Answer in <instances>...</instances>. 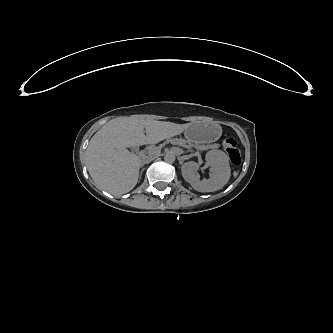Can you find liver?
<instances>
[{"label": "liver", "mask_w": 333, "mask_h": 333, "mask_svg": "<svg viewBox=\"0 0 333 333\" xmlns=\"http://www.w3.org/2000/svg\"><path fill=\"white\" fill-rule=\"evenodd\" d=\"M167 135L115 137L111 133H99L91 139L86 150L90 176L108 192L132 190L138 181L141 161L127 148L156 143Z\"/></svg>", "instance_id": "obj_1"}]
</instances>
